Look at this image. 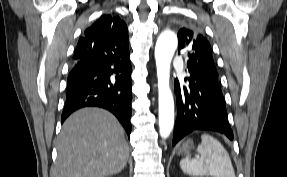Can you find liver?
Segmentation results:
<instances>
[{
	"mask_svg": "<svg viewBox=\"0 0 287 177\" xmlns=\"http://www.w3.org/2000/svg\"><path fill=\"white\" fill-rule=\"evenodd\" d=\"M54 177H105L124 169L129 147L108 111L83 108L67 118L57 140Z\"/></svg>",
	"mask_w": 287,
	"mask_h": 177,
	"instance_id": "6515ba94",
	"label": "liver"
}]
</instances>
